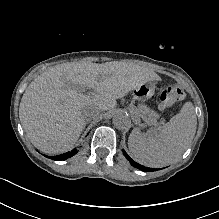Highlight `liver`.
I'll return each instance as SVG.
<instances>
[{"label":"liver","instance_id":"6515ba94","mask_svg":"<svg viewBox=\"0 0 219 219\" xmlns=\"http://www.w3.org/2000/svg\"><path fill=\"white\" fill-rule=\"evenodd\" d=\"M133 64L72 62L45 69L25 90L19 117L32 145L47 154L70 150L84 130L86 112L92 119L111 110L119 99L150 79ZM93 89L80 94L75 87ZM91 119V120H92Z\"/></svg>","mask_w":219,"mask_h":219}]
</instances>
